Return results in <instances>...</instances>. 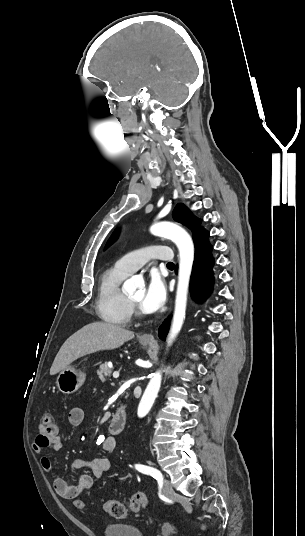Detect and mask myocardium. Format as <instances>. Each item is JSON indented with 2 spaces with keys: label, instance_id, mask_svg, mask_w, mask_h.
Listing matches in <instances>:
<instances>
[{
  "label": "myocardium",
  "instance_id": "1",
  "mask_svg": "<svg viewBox=\"0 0 305 536\" xmlns=\"http://www.w3.org/2000/svg\"><path fill=\"white\" fill-rule=\"evenodd\" d=\"M126 298L132 310H134L138 315L144 314L143 310L140 308L138 303L131 300L128 296Z\"/></svg>",
  "mask_w": 305,
  "mask_h": 536
}]
</instances>
